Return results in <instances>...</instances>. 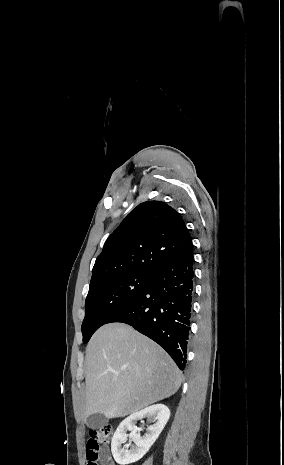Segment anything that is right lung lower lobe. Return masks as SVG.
I'll list each match as a JSON object with an SVG mask.
<instances>
[{
	"mask_svg": "<svg viewBox=\"0 0 284 465\" xmlns=\"http://www.w3.org/2000/svg\"><path fill=\"white\" fill-rule=\"evenodd\" d=\"M193 246L155 273L146 287L107 323L131 325L148 336L184 370L194 297Z\"/></svg>",
	"mask_w": 284,
	"mask_h": 465,
	"instance_id": "obj_1",
	"label": "right lung lower lobe"
}]
</instances>
